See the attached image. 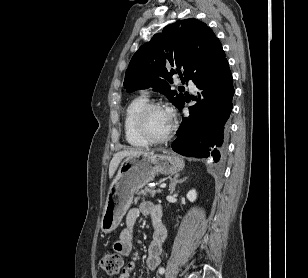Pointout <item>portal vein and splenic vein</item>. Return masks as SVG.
<instances>
[{"label":"portal vein and splenic vein","instance_id":"portal-vein-and-splenic-vein-1","mask_svg":"<svg viewBox=\"0 0 308 278\" xmlns=\"http://www.w3.org/2000/svg\"><path fill=\"white\" fill-rule=\"evenodd\" d=\"M165 187H166V184H165V183H163V184L160 185V188H161V189H163V188H165Z\"/></svg>","mask_w":308,"mask_h":278}]
</instances>
